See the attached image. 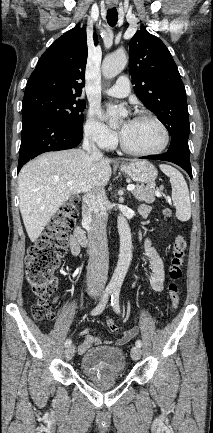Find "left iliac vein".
I'll return each instance as SVG.
<instances>
[{
    "label": "left iliac vein",
    "instance_id": "left-iliac-vein-1",
    "mask_svg": "<svg viewBox=\"0 0 213 433\" xmlns=\"http://www.w3.org/2000/svg\"><path fill=\"white\" fill-rule=\"evenodd\" d=\"M141 354H142V351H141L140 347H138V346L132 347V349H131V357L134 360H139L140 357H141Z\"/></svg>",
    "mask_w": 213,
    "mask_h": 433
}]
</instances>
